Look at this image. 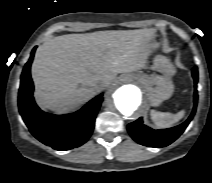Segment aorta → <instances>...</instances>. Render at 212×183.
<instances>
[{
    "mask_svg": "<svg viewBox=\"0 0 212 183\" xmlns=\"http://www.w3.org/2000/svg\"><path fill=\"white\" fill-rule=\"evenodd\" d=\"M116 110L125 116H130L141 104V91L132 84L116 88L110 95Z\"/></svg>",
    "mask_w": 212,
    "mask_h": 183,
    "instance_id": "1",
    "label": "aorta"
}]
</instances>
